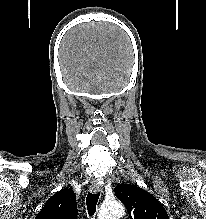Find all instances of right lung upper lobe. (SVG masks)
<instances>
[{
    "label": "right lung upper lobe",
    "instance_id": "obj_1",
    "mask_svg": "<svg viewBox=\"0 0 206 219\" xmlns=\"http://www.w3.org/2000/svg\"><path fill=\"white\" fill-rule=\"evenodd\" d=\"M35 219H77L76 195L63 189L51 196Z\"/></svg>",
    "mask_w": 206,
    "mask_h": 219
}]
</instances>
